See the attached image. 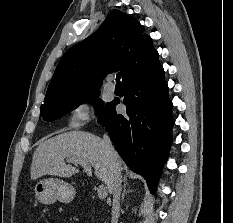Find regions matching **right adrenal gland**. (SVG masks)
<instances>
[{
    "instance_id": "2a0ac1e0",
    "label": "right adrenal gland",
    "mask_w": 233,
    "mask_h": 223,
    "mask_svg": "<svg viewBox=\"0 0 233 223\" xmlns=\"http://www.w3.org/2000/svg\"><path fill=\"white\" fill-rule=\"evenodd\" d=\"M123 181H124V183H123V191H122V195H121V201H124L125 193H129V191H134V189H127V187H126V183H127L126 177H124Z\"/></svg>"
}]
</instances>
